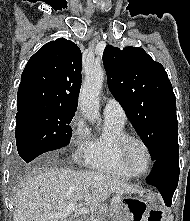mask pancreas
Segmentation results:
<instances>
[{
	"label": "pancreas",
	"mask_w": 190,
	"mask_h": 221,
	"mask_svg": "<svg viewBox=\"0 0 190 221\" xmlns=\"http://www.w3.org/2000/svg\"><path fill=\"white\" fill-rule=\"evenodd\" d=\"M120 204L117 202H112L109 205L108 211L112 214H119ZM103 213L98 210L94 215L91 216L90 221H102Z\"/></svg>",
	"instance_id": "1"
}]
</instances>
